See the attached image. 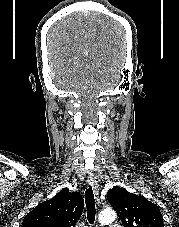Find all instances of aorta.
Segmentation results:
<instances>
[{
	"label": "aorta",
	"mask_w": 179,
	"mask_h": 227,
	"mask_svg": "<svg viewBox=\"0 0 179 227\" xmlns=\"http://www.w3.org/2000/svg\"><path fill=\"white\" fill-rule=\"evenodd\" d=\"M115 219H116V213L112 209L103 210L98 216V221L102 225L111 224L115 221Z\"/></svg>",
	"instance_id": "1"
}]
</instances>
